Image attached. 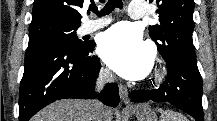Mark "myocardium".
I'll return each mask as SVG.
<instances>
[{"label":"myocardium","mask_w":217,"mask_h":121,"mask_svg":"<svg viewBox=\"0 0 217 121\" xmlns=\"http://www.w3.org/2000/svg\"><path fill=\"white\" fill-rule=\"evenodd\" d=\"M154 78L158 81L162 80L163 73L161 71H156V73L154 74Z\"/></svg>","instance_id":"f54148a6"}]
</instances>
